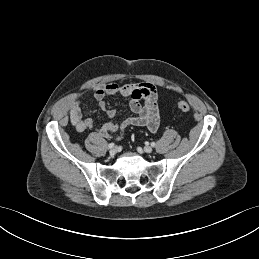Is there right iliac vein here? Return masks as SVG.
Returning a JSON list of instances; mask_svg holds the SVG:
<instances>
[{
    "mask_svg": "<svg viewBox=\"0 0 259 259\" xmlns=\"http://www.w3.org/2000/svg\"><path fill=\"white\" fill-rule=\"evenodd\" d=\"M117 148L116 147H113L110 151H109V154L111 155V156H114V155H116V153H117Z\"/></svg>",
    "mask_w": 259,
    "mask_h": 259,
    "instance_id": "1",
    "label": "right iliac vein"
}]
</instances>
